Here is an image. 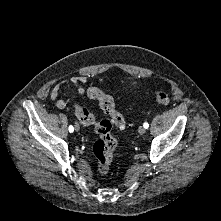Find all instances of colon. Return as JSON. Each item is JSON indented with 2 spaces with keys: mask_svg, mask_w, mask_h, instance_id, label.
I'll use <instances>...</instances> for the list:
<instances>
[{
  "mask_svg": "<svg viewBox=\"0 0 221 221\" xmlns=\"http://www.w3.org/2000/svg\"><path fill=\"white\" fill-rule=\"evenodd\" d=\"M88 96L98 100L101 109L109 119L97 121L87 108L80 105H75V115L81 124L91 125L99 133L100 137L94 143L93 153L97 159L99 173L105 175L109 170L117 144L115 138L111 135L112 125L125 129L127 128V122L117 110L115 101L110 95L102 92L97 87H91L88 90ZM154 99L160 105L167 106L170 104V97L163 91L156 92Z\"/></svg>",
  "mask_w": 221,
  "mask_h": 221,
  "instance_id": "colon-1",
  "label": "colon"
}]
</instances>
